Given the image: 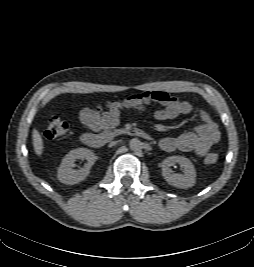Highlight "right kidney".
I'll return each instance as SVG.
<instances>
[{
  "label": "right kidney",
  "mask_w": 254,
  "mask_h": 267,
  "mask_svg": "<svg viewBox=\"0 0 254 267\" xmlns=\"http://www.w3.org/2000/svg\"><path fill=\"white\" fill-rule=\"evenodd\" d=\"M77 159H85L87 162L83 168L79 170L73 169ZM96 160L94 153L87 148H77L71 150L62 159L57 172V178L61 183L74 185L83 181L90 173V169Z\"/></svg>",
  "instance_id": "1"
}]
</instances>
